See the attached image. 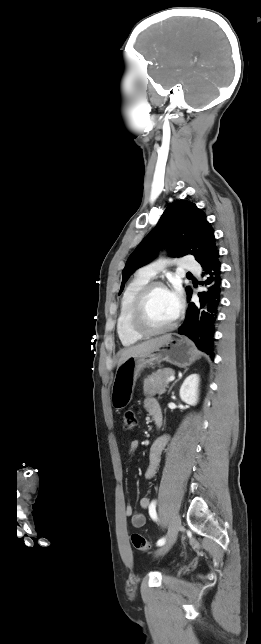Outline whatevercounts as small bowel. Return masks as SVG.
Here are the masks:
<instances>
[{
  "instance_id": "c3829d8e",
  "label": "small bowel",
  "mask_w": 261,
  "mask_h": 644,
  "mask_svg": "<svg viewBox=\"0 0 261 644\" xmlns=\"http://www.w3.org/2000/svg\"><path fill=\"white\" fill-rule=\"evenodd\" d=\"M144 407L154 419H162L161 408L155 398H146L144 401ZM167 442L168 436L163 435L157 438L152 443L149 451V464L144 474V477L146 479H152L155 476L160 463L161 455L165 449ZM138 447V440H132L129 445V453L133 454L138 449ZM139 505L142 509H148L150 507V499L148 497H142L139 500ZM125 516L130 520L132 526L136 528H140L146 523L145 515L140 512H135L133 506L130 504L126 505L125 507Z\"/></svg>"
}]
</instances>
